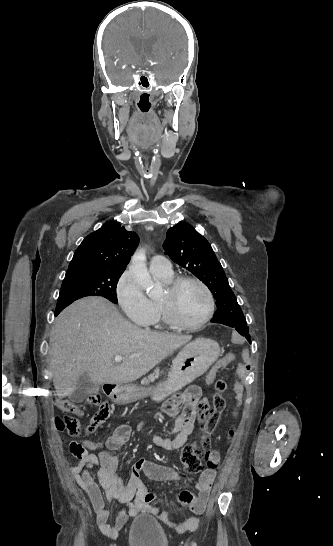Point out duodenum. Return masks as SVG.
Here are the masks:
<instances>
[{"mask_svg": "<svg viewBox=\"0 0 333 546\" xmlns=\"http://www.w3.org/2000/svg\"><path fill=\"white\" fill-rule=\"evenodd\" d=\"M107 390L112 396H116L120 393L119 389L115 385H108Z\"/></svg>", "mask_w": 333, "mask_h": 546, "instance_id": "1", "label": "duodenum"}]
</instances>
